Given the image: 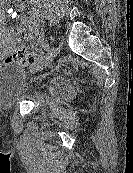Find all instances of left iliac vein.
<instances>
[{
    "instance_id": "left-iliac-vein-1",
    "label": "left iliac vein",
    "mask_w": 133,
    "mask_h": 173,
    "mask_svg": "<svg viewBox=\"0 0 133 173\" xmlns=\"http://www.w3.org/2000/svg\"><path fill=\"white\" fill-rule=\"evenodd\" d=\"M58 53V48L54 45H52L49 49L48 52L43 60L40 62L36 63L30 70L31 74L37 73L41 70H43L45 67H47L53 59L56 57Z\"/></svg>"
}]
</instances>
